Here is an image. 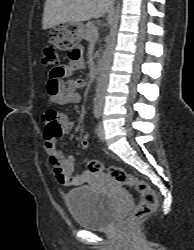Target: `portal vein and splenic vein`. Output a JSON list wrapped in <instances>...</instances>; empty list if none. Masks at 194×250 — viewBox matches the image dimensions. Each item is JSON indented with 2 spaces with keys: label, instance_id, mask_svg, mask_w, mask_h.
Masks as SVG:
<instances>
[{
  "label": "portal vein and splenic vein",
  "instance_id": "obj_1",
  "mask_svg": "<svg viewBox=\"0 0 194 250\" xmlns=\"http://www.w3.org/2000/svg\"><path fill=\"white\" fill-rule=\"evenodd\" d=\"M95 36H96V37L98 36V31H95Z\"/></svg>",
  "mask_w": 194,
  "mask_h": 250
}]
</instances>
